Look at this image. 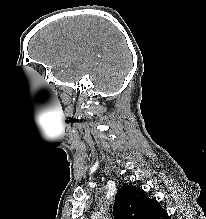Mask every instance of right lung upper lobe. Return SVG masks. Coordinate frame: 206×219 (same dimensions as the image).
I'll return each instance as SVG.
<instances>
[{"label":"right lung upper lobe","mask_w":206,"mask_h":219,"mask_svg":"<svg viewBox=\"0 0 206 219\" xmlns=\"http://www.w3.org/2000/svg\"><path fill=\"white\" fill-rule=\"evenodd\" d=\"M114 219H168L157 200L147 198L143 189L127 185L115 196Z\"/></svg>","instance_id":"obj_1"}]
</instances>
